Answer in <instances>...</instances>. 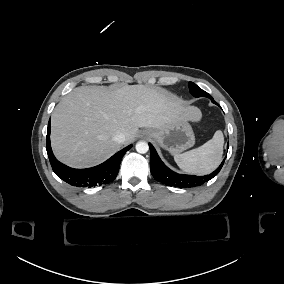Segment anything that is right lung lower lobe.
Returning <instances> with one entry per match:
<instances>
[{"label": "right lung lower lobe", "instance_id": "obj_1", "mask_svg": "<svg viewBox=\"0 0 284 284\" xmlns=\"http://www.w3.org/2000/svg\"><path fill=\"white\" fill-rule=\"evenodd\" d=\"M131 147L132 145L125 147L98 166L87 169L70 168L60 163L53 155L50 145V120L48 123L46 149L52 169L59 178L73 186L90 188L112 182L118 174L122 157Z\"/></svg>", "mask_w": 284, "mask_h": 284}]
</instances>
